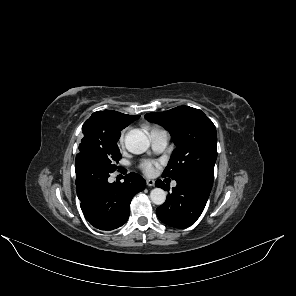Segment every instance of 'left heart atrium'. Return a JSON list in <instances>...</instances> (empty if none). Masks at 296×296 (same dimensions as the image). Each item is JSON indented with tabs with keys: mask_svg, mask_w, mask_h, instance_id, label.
<instances>
[{
	"mask_svg": "<svg viewBox=\"0 0 296 296\" xmlns=\"http://www.w3.org/2000/svg\"><path fill=\"white\" fill-rule=\"evenodd\" d=\"M139 168L147 176H153L157 173L159 168V163L151 159H143L139 163Z\"/></svg>",
	"mask_w": 296,
	"mask_h": 296,
	"instance_id": "left-heart-atrium-1",
	"label": "left heart atrium"
}]
</instances>
